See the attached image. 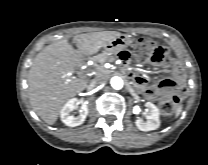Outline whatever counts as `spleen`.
Instances as JSON below:
<instances>
[{"label":"spleen","instance_id":"spleen-1","mask_svg":"<svg viewBox=\"0 0 208 165\" xmlns=\"http://www.w3.org/2000/svg\"><path fill=\"white\" fill-rule=\"evenodd\" d=\"M181 111H182V107H181V106H179V107L176 109V114H175V117H178V116H179V114L181 113Z\"/></svg>","mask_w":208,"mask_h":165}]
</instances>
